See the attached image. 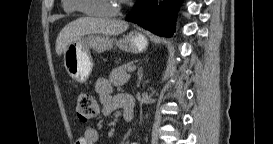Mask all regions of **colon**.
Instances as JSON below:
<instances>
[{
	"mask_svg": "<svg viewBox=\"0 0 273 144\" xmlns=\"http://www.w3.org/2000/svg\"><path fill=\"white\" fill-rule=\"evenodd\" d=\"M98 110V103L92 94L87 92L79 93L77 97L76 114L80 121H89L97 115Z\"/></svg>",
	"mask_w": 273,
	"mask_h": 144,
	"instance_id": "obj_1",
	"label": "colon"
}]
</instances>
